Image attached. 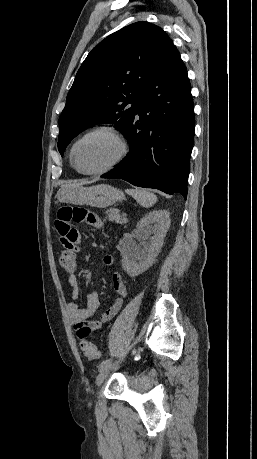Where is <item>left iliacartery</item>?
<instances>
[{"label":"left iliac artery","instance_id":"obj_1","mask_svg":"<svg viewBox=\"0 0 257 459\" xmlns=\"http://www.w3.org/2000/svg\"><path fill=\"white\" fill-rule=\"evenodd\" d=\"M111 362H112L111 359H106V360L102 361V362L100 363V365L98 366V369L101 371V370L104 369L105 367L111 365Z\"/></svg>","mask_w":257,"mask_h":459}]
</instances>
